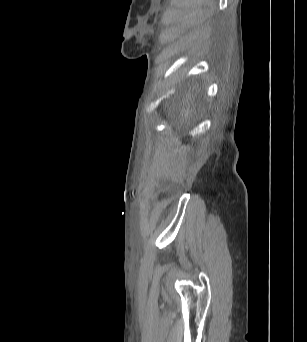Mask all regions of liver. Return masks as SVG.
<instances>
[{
	"label": "liver",
	"instance_id": "1",
	"mask_svg": "<svg viewBox=\"0 0 307 342\" xmlns=\"http://www.w3.org/2000/svg\"><path fill=\"white\" fill-rule=\"evenodd\" d=\"M188 114H189V112H187V110H186V114H185V116H188Z\"/></svg>",
	"mask_w": 307,
	"mask_h": 342
}]
</instances>
